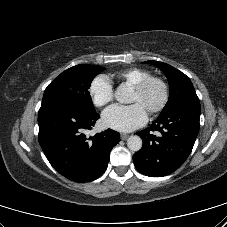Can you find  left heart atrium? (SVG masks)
Returning <instances> with one entry per match:
<instances>
[{
	"mask_svg": "<svg viewBox=\"0 0 227 227\" xmlns=\"http://www.w3.org/2000/svg\"><path fill=\"white\" fill-rule=\"evenodd\" d=\"M104 124L117 131L130 132L143 126L148 119L146 109L140 103L128 106L113 105L102 115Z\"/></svg>",
	"mask_w": 227,
	"mask_h": 227,
	"instance_id": "39dd6f15",
	"label": "left heart atrium"
}]
</instances>
